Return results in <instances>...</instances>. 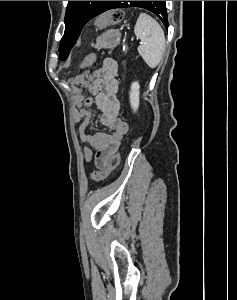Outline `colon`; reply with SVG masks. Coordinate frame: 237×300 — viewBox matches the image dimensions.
<instances>
[{
  "label": "colon",
  "mask_w": 237,
  "mask_h": 300,
  "mask_svg": "<svg viewBox=\"0 0 237 300\" xmlns=\"http://www.w3.org/2000/svg\"><path fill=\"white\" fill-rule=\"evenodd\" d=\"M123 11L120 9H112L102 13L95 21V24L98 28H103L106 26H113L119 24L123 20ZM96 61L95 55H88L85 57L80 66L82 68L91 66ZM71 83L76 85L78 83V76H74L71 79ZM120 161V154L115 153L111 155L108 160V163L102 169L93 172L90 175L92 180H100L108 176L119 164Z\"/></svg>",
  "instance_id": "1"
}]
</instances>
